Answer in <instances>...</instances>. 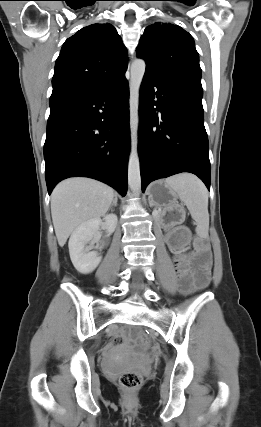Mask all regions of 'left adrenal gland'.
Wrapping results in <instances>:
<instances>
[{
  "instance_id": "obj_1",
  "label": "left adrenal gland",
  "mask_w": 261,
  "mask_h": 427,
  "mask_svg": "<svg viewBox=\"0 0 261 427\" xmlns=\"http://www.w3.org/2000/svg\"><path fill=\"white\" fill-rule=\"evenodd\" d=\"M149 204H150V207H152V204L149 202Z\"/></svg>"
}]
</instances>
